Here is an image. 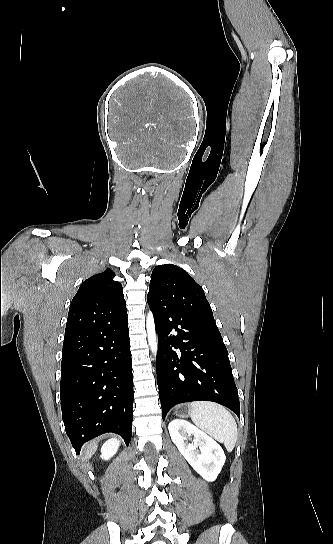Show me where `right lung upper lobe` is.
<instances>
[{"instance_id":"right-lung-upper-lobe-1","label":"right lung upper lobe","mask_w":333,"mask_h":544,"mask_svg":"<svg viewBox=\"0 0 333 544\" xmlns=\"http://www.w3.org/2000/svg\"><path fill=\"white\" fill-rule=\"evenodd\" d=\"M114 276L106 269L81 284L69 308L65 335L127 313L122 285L113 280Z\"/></svg>"}]
</instances>
